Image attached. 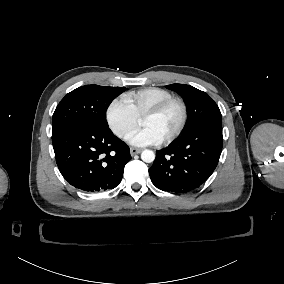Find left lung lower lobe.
Here are the masks:
<instances>
[{
  "label": "left lung lower lobe",
  "instance_id": "1",
  "mask_svg": "<svg viewBox=\"0 0 284 284\" xmlns=\"http://www.w3.org/2000/svg\"><path fill=\"white\" fill-rule=\"evenodd\" d=\"M222 140V125L209 124L183 132L178 140L156 152L149 168L152 183L176 194L195 190L215 170Z\"/></svg>",
  "mask_w": 284,
  "mask_h": 284
}]
</instances>
